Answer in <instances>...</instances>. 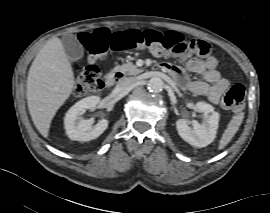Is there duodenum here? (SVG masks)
Masks as SVG:
<instances>
[{
    "mask_svg": "<svg viewBox=\"0 0 270 213\" xmlns=\"http://www.w3.org/2000/svg\"><path fill=\"white\" fill-rule=\"evenodd\" d=\"M124 78V74L120 71H112L108 73L104 79L105 87H111L117 84L120 80Z\"/></svg>",
    "mask_w": 270,
    "mask_h": 213,
    "instance_id": "410a0bca",
    "label": "duodenum"
}]
</instances>
